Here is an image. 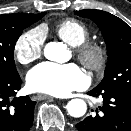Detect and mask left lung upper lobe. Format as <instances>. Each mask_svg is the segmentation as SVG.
<instances>
[{
  "instance_id": "5c2ea615",
  "label": "left lung upper lobe",
  "mask_w": 131,
  "mask_h": 131,
  "mask_svg": "<svg viewBox=\"0 0 131 131\" xmlns=\"http://www.w3.org/2000/svg\"><path fill=\"white\" fill-rule=\"evenodd\" d=\"M75 14L94 21L106 42L108 62L104 78L96 88L131 91V28L105 11L85 9Z\"/></svg>"
}]
</instances>
